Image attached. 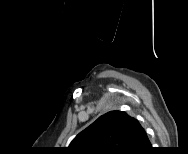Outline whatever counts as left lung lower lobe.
<instances>
[{
  "label": "left lung lower lobe",
  "instance_id": "left-lung-lower-lobe-1",
  "mask_svg": "<svg viewBox=\"0 0 188 154\" xmlns=\"http://www.w3.org/2000/svg\"><path fill=\"white\" fill-rule=\"evenodd\" d=\"M150 148V141L146 135V132L140 125V123L136 120L134 136L131 142L130 154H136L138 151L145 150Z\"/></svg>",
  "mask_w": 188,
  "mask_h": 154
}]
</instances>
